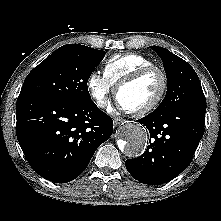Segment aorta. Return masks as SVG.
<instances>
[{
    "mask_svg": "<svg viewBox=\"0 0 221 221\" xmlns=\"http://www.w3.org/2000/svg\"><path fill=\"white\" fill-rule=\"evenodd\" d=\"M123 135L124 140H121L119 146L128 157L140 156L145 151L148 134L142 125L136 123L125 124Z\"/></svg>",
    "mask_w": 221,
    "mask_h": 221,
    "instance_id": "1",
    "label": "aorta"
}]
</instances>
